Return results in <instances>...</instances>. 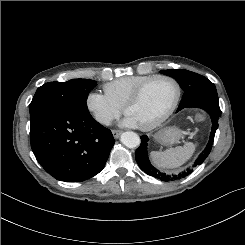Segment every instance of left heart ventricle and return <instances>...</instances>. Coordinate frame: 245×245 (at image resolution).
<instances>
[{
    "instance_id": "b2bd125f",
    "label": "left heart ventricle",
    "mask_w": 245,
    "mask_h": 245,
    "mask_svg": "<svg viewBox=\"0 0 245 245\" xmlns=\"http://www.w3.org/2000/svg\"><path fill=\"white\" fill-rule=\"evenodd\" d=\"M176 96L175 85L168 80L150 83L139 101L127 109L140 126L148 125L161 118L171 107Z\"/></svg>"
}]
</instances>
